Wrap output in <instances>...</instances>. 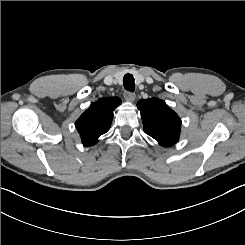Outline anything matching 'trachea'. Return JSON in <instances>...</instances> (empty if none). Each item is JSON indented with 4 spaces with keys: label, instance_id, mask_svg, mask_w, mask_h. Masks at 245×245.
I'll return each instance as SVG.
<instances>
[{
    "label": "trachea",
    "instance_id": "trachea-1",
    "mask_svg": "<svg viewBox=\"0 0 245 245\" xmlns=\"http://www.w3.org/2000/svg\"><path fill=\"white\" fill-rule=\"evenodd\" d=\"M123 85L124 88L129 92H133L135 90L134 77L132 74L128 73L124 76Z\"/></svg>",
    "mask_w": 245,
    "mask_h": 245
}]
</instances>
